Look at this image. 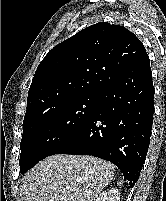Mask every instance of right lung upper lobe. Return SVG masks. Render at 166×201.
<instances>
[{
  "mask_svg": "<svg viewBox=\"0 0 166 201\" xmlns=\"http://www.w3.org/2000/svg\"><path fill=\"white\" fill-rule=\"evenodd\" d=\"M141 41L120 25H91L56 45L39 64L25 117L67 101L100 95L145 56Z\"/></svg>",
  "mask_w": 166,
  "mask_h": 201,
  "instance_id": "1",
  "label": "right lung upper lobe"
}]
</instances>
